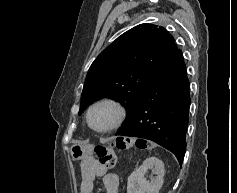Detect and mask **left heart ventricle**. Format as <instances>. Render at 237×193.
I'll list each match as a JSON object with an SVG mask.
<instances>
[{"instance_id": "left-heart-ventricle-1", "label": "left heart ventricle", "mask_w": 237, "mask_h": 193, "mask_svg": "<svg viewBox=\"0 0 237 193\" xmlns=\"http://www.w3.org/2000/svg\"><path fill=\"white\" fill-rule=\"evenodd\" d=\"M115 117V111L109 106L96 108L91 115V123L96 128L109 126Z\"/></svg>"}]
</instances>
